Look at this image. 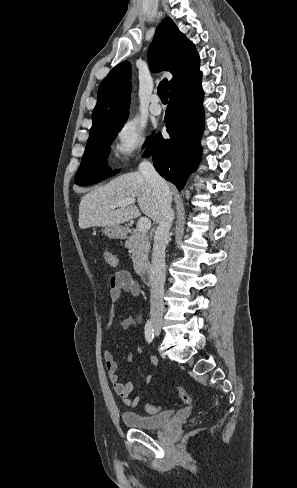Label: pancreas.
Returning a JSON list of instances; mask_svg holds the SVG:
<instances>
[{
	"label": "pancreas",
	"mask_w": 297,
	"mask_h": 488,
	"mask_svg": "<svg viewBox=\"0 0 297 488\" xmlns=\"http://www.w3.org/2000/svg\"><path fill=\"white\" fill-rule=\"evenodd\" d=\"M126 247L132 252V261L135 272L139 273L149 265L150 251L149 236L146 232L134 230L126 241Z\"/></svg>",
	"instance_id": "pancreas-1"
}]
</instances>
